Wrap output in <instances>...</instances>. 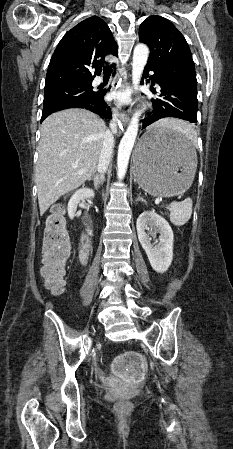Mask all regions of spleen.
I'll return each mask as SVG.
<instances>
[{
  "mask_svg": "<svg viewBox=\"0 0 233 449\" xmlns=\"http://www.w3.org/2000/svg\"><path fill=\"white\" fill-rule=\"evenodd\" d=\"M171 128H173V133H185L187 138H190L191 140L195 139L194 124L171 125ZM168 209L170 210L171 223L175 226H182L188 222L192 215V200L187 198L182 202L173 201L168 206Z\"/></svg>",
  "mask_w": 233,
  "mask_h": 449,
  "instance_id": "1",
  "label": "spleen"
}]
</instances>
